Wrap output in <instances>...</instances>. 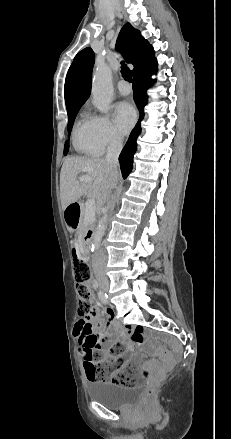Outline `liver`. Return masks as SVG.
Listing matches in <instances>:
<instances>
[{"label": "liver", "mask_w": 231, "mask_h": 439, "mask_svg": "<svg viewBox=\"0 0 231 439\" xmlns=\"http://www.w3.org/2000/svg\"><path fill=\"white\" fill-rule=\"evenodd\" d=\"M91 178L88 182H78V175ZM115 176L108 163L101 158L70 157L67 158L60 173V197L63 209L77 202L87 194L96 198L100 204L106 201L111 189L116 185Z\"/></svg>", "instance_id": "1"}]
</instances>
